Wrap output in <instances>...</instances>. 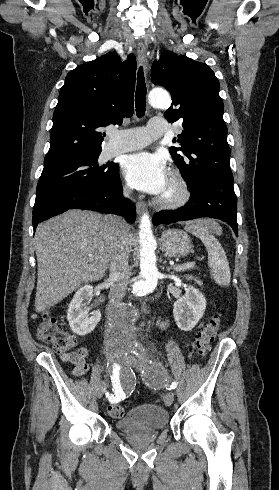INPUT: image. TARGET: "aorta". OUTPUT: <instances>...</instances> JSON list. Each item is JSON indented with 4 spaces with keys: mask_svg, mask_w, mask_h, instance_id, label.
Returning a JSON list of instances; mask_svg holds the SVG:
<instances>
[{
    "mask_svg": "<svg viewBox=\"0 0 279 490\" xmlns=\"http://www.w3.org/2000/svg\"><path fill=\"white\" fill-rule=\"evenodd\" d=\"M149 103L155 108H168L171 104V98L166 91L153 90L149 94ZM139 244L140 279L133 284L132 293L136 296H143L155 290L159 277L155 254L156 241L147 214H144L140 219ZM135 320L134 310L129 305L122 304L108 323L110 340L119 344L134 343Z\"/></svg>",
    "mask_w": 279,
    "mask_h": 490,
    "instance_id": "aorta-1",
    "label": "aorta"
}]
</instances>
